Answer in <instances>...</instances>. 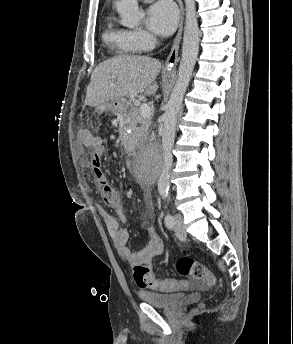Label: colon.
I'll return each instance as SVG.
<instances>
[{
	"mask_svg": "<svg viewBox=\"0 0 293 344\" xmlns=\"http://www.w3.org/2000/svg\"><path fill=\"white\" fill-rule=\"evenodd\" d=\"M103 150V142L96 145V154H101ZM99 166L98 161H93V167ZM97 184L100 195L109 207L116 208L121 205L120 193L110 184L106 176L101 173L97 176ZM176 269L178 273L185 278H190L194 282L206 281L213 282L214 278L208 273L206 267L191 257H181L177 260ZM133 278L140 288H152L163 291H171L181 289L186 284L177 279L159 280L155 277L151 264L137 265L133 268Z\"/></svg>",
	"mask_w": 293,
	"mask_h": 344,
	"instance_id": "1",
	"label": "colon"
}]
</instances>
